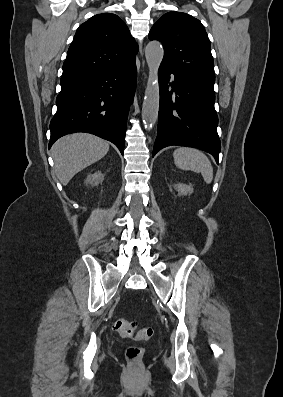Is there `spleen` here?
I'll use <instances>...</instances> for the list:
<instances>
[{
	"label": "spleen",
	"instance_id": "1",
	"mask_svg": "<svg viewBox=\"0 0 283 397\" xmlns=\"http://www.w3.org/2000/svg\"><path fill=\"white\" fill-rule=\"evenodd\" d=\"M173 158L178 168L201 173L207 184H210L213 180V167L211 162L200 150L180 147L174 151Z\"/></svg>",
	"mask_w": 283,
	"mask_h": 397
}]
</instances>
